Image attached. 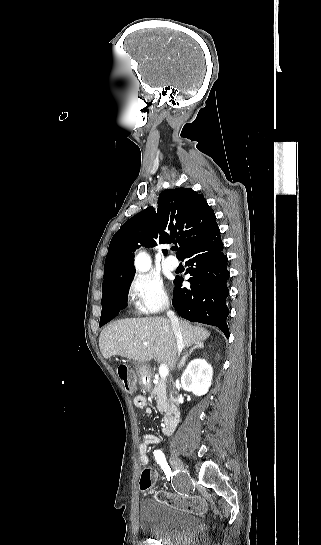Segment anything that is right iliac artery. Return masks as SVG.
<instances>
[{
    "mask_svg": "<svg viewBox=\"0 0 321 545\" xmlns=\"http://www.w3.org/2000/svg\"><path fill=\"white\" fill-rule=\"evenodd\" d=\"M154 457L157 461V463L161 466L163 472L166 474L168 480L170 475L172 474L171 468L169 467L165 455L161 450L154 451Z\"/></svg>",
    "mask_w": 321,
    "mask_h": 545,
    "instance_id": "obj_1",
    "label": "right iliac artery"
}]
</instances>
